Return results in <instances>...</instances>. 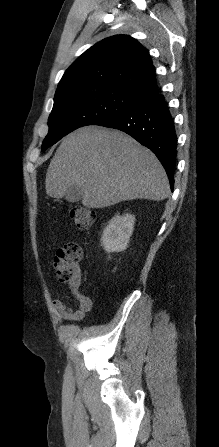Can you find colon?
<instances>
[{
  "instance_id": "5ec220e1",
  "label": "colon",
  "mask_w": 219,
  "mask_h": 447,
  "mask_svg": "<svg viewBox=\"0 0 219 447\" xmlns=\"http://www.w3.org/2000/svg\"><path fill=\"white\" fill-rule=\"evenodd\" d=\"M70 218L79 230H88L94 222V214L86 207H73L70 209ZM83 256L82 245L72 241L57 249L51 259V267L57 279L68 285L72 290L79 292L80 269L79 261Z\"/></svg>"
}]
</instances>
